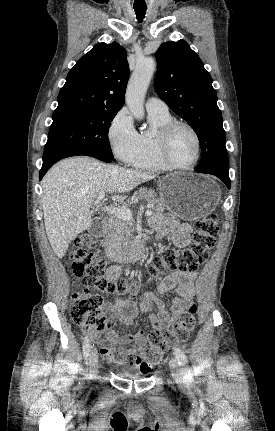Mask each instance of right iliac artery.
Segmentation results:
<instances>
[{"mask_svg": "<svg viewBox=\"0 0 275 431\" xmlns=\"http://www.w3.org/2000/svg\"><path fill=\"white\" fill-rule=\"evenodd\" d=\"M91 347H92V345H91L89 339L87 337H85L84 342H83V354H84L85 358H87L89 356Z\"/></svg>", "mask_w": 275, "mask_h": 431, "instance_id": "1", "label": "right iliac artery"}]
</instances>
